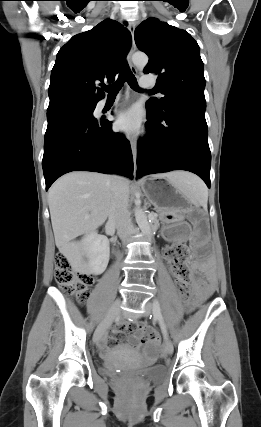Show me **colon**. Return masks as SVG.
<instances>
[{
    "instance_id": "colon-1",
    "label": "colon",
    "mask_w": 261,
    "mask_h": 427,
    "mask_svg": "<svg viewBox=\"0 0 261 427\" xmlns=\"http://www.w3.org/2000/svg\"><path fill=\"white\" fill-rule=\"evenodd\" d=\"M166 257L175 276L180 295L183 300H187L188 287L192 280V274L187 265L188 248L184 243L173 244L166 250ZM55 280L64 292L75 296L80 302L88 299L90 287L95 281L92 275L75 270L69 258L62 253L56 256ZM139 332L144 341H150L156 337L155 333L144 324H141Z\"/></svg>"
}]
</instances>
